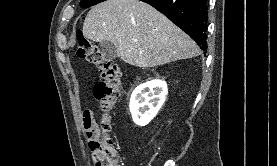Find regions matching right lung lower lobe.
Masks as SVG:
<instances>
[{"instance_id":"98d812e1","label":"right lung lower lobe","mask_w":277,"mask_h":166,"mask_svg":"<svg viewBox=\"0 0 277 166\" xmlns=\"http://www.w3.org/2000/svg\"><path fill=\"white\" fill-rule=\"evenodd\" d=\"M155 7L207 51V0H141Z\"/></svg>"}]
</instances>
